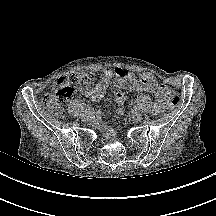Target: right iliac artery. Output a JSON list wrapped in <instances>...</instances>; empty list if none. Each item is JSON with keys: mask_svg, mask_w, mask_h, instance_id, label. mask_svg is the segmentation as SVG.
<instances>
[{"mask_svg": "<svg viewBox=\"0 0 216 216\" xmlns=\"http://www.w3.org/2000/svg\"><path fill=\"white\" fill-rule=\"evenodd\" d=\"M93 111H94V109H93L92 107H88V108L86 109L85 112H86L87 114H92Z\"/></svg>", "mask_w": 216, "mask_h": 216, "instance_id": "1", "label": "right iliac artery"}]
</instances>
